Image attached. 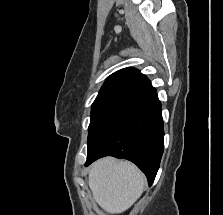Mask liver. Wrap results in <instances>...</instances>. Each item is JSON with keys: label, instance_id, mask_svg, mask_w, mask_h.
<instances>
[{"label": "liver", "instance_id": "6515ba94", "mask_svg": "<svg viewBox=\"0 0 223 215\" xmlns=\"http://www.w3.org/2000/svg\"><path fill=\"white\" fill-rule=\"evenodd\" d=\"M145 181L134 163L103 157L92 165L88 183L100 207L109 213H122L140 197Z\"/></svg>", "mask_w": 223, "mask_h": 215}]
</instances>
